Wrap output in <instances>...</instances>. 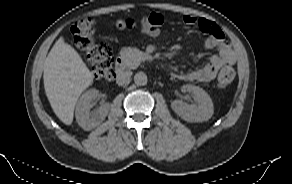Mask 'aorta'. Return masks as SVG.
<instances>
[{"label":"aorta","instance_id":"762f6f07","mask_svg":"<svg viewBox=\"0 0 292 184\" xmlns=\"http://www.w3.org/2000/svg\"><path fill=\"white\" fill-rule=\"evenodd\" d=\"M148 78L147 75L140 71L134 75V83L138 86H144L147 84Z\"/></svg>","mask_w":292,"mask_h":184}]
</instances>
